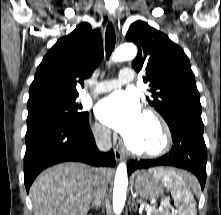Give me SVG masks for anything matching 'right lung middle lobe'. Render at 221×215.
<instances>
[{
  "label": "right lung middle lobe",
  "mask_w": 221,
  "mask_h": 215,
  "mask_svg": "<svg viewBox=\"0 0 221 215\" xmlns=\"http://www.w3.org/2000/svg\"><path fill=\"white\" fill-rule=\"evenodd\" d=\"M81 105L76 99L53 101L28 107L27 127H31L51 118L81 120L88 117L87 112H80Z\"/></svg>",
  "instance_id": "dd1d6c3e"
}]
</instances>
